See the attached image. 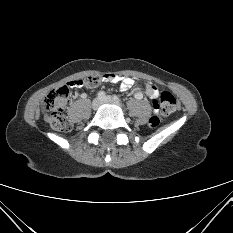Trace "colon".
Masks as SVG:
<instances>
[{
	"label": "colon",
	"mask_w": 233,
	"mask_h": 233,
	"mask_svg": "<svg viewBox=\"0 0 233 233\" xmlns=\"http://www.w3.org/2000/svg\"><path fill=\"white\" fill-rule=\"evenodd\" d=\"M101 76L103 75H90L82 80L86 88H95L103 82L101 81ZM69 98L70 89L63 85L52 90L42 103L44 119L54 130L67 132L72 129V122L63 113L68 105ZM153 104L165 116L174 113L177 109V100L170 92H162L159 97L153 100ZM158 124V116H153L149 119L148 125L150 127L154 128Z\"/></svg>",
	"instance_id": "obj_1"
}]
</instances>
